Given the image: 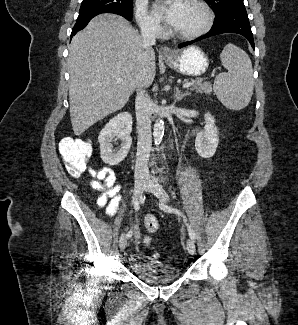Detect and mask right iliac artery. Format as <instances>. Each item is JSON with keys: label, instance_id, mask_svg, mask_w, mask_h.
I'll use <instances>...</instances> for the list:
<instances>
[{"label": "right iliac artery", "instance_id": "82829eb1", "mask_svg": "<svg viewBox=\"0 0 298 325\" xmlns=\"http://www.w3.org/2000/svg\"><path fill=\"white\" fill-rule=\"evenodd\" d=\"M134 208H135L136 211L139 210V203H138V201H136V202L134 203ZM131 236H132V231H129V232L127 233V235H126V238L129 239Z\"/></svg>", "mask_w": 298, "mask_h": 325}]
</instances>
